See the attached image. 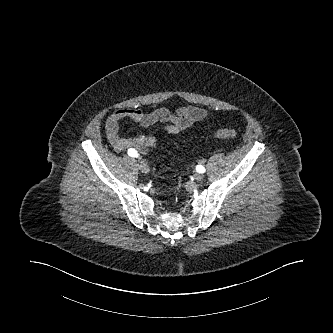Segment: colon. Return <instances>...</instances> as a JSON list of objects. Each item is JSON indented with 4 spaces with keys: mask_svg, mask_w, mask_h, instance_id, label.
I'll list each match as a JSON object with an SVG mask.
<instances>
[{
    "mask_svg": "<svg viewBox=\"0 0 333 333\" xmlns=\"http://www.w3.org/2000/svg\"><path fill=\"white\" fill-rule=\"evenodd\" d=\"M213 135L221 139H234L236 138L237 133L230 128H221L213 131Z\"/></svg>",
    "mask_w": 333,
    "mask_h": 333,
    "instance_id": "colon-1",
    "label": "colon"
}]
</instances>
